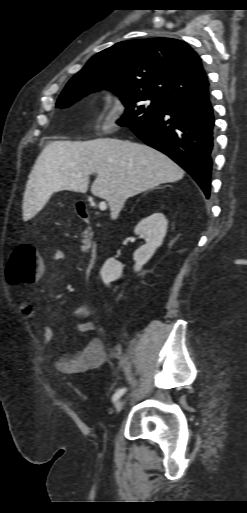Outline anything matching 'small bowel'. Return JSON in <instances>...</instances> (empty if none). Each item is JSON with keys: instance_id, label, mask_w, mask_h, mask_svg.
<instances>
[{"instance_id": "small-bowel-1", "label": "small bowel", "mask_w": 247, "mask_h": 513, "mask_svg": "<svg viewBox=\"0 0 247 513\" xmlns=\"http://www.w3.org/2000/svg\"><path fill=\"white\" fill-rule=\"evenodd\" d=\"M53 259L55 261L65 260L64 252L61 250L55 251ZM21 311L27 318H31L34 314L33 308L27 302L23 303ZM90 314L91 309L86 304L78 306L73 311V318L76 321L77 329L82 334H89L96 330L95 323L88 319ZM38 328L42 341L45 344L51 343L54 338L53 328L49 325H42ZM121 352V345H113L108 350L101 339L94 337L79 353L56 355L53 360V365L60 373L78 374L100 367L108 360V358H119L121 356Z\"/></svg>"}]
</instances>
